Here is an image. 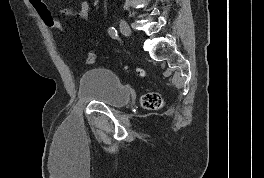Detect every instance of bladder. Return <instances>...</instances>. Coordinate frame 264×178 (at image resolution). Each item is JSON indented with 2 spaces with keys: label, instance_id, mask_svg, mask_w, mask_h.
I'll list each match as a JSON object with an SVG mask.
<instances>
[{
  "label": "bladder",
  "instance_id": "31cf9c89",
  "mask_svg": "<svg viewBox=\"0 0 264 178\" xmlns=\"http://www.w3.org/2000/svg\"><path fill=\"white\" fill-rule=\"evenodd\" d=\"M78 95L82 100L99 101L112 107L125 106L130 100L127 86L107 68L84 72L79 80Z\"/></svg>",
  "mask_w": 264,
  "mask_h": 178
}]
</instances>
